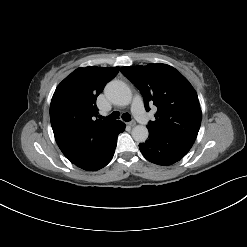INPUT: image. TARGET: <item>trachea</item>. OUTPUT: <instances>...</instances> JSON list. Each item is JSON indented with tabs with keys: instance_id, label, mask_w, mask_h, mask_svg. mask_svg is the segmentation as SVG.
I'll return each mask as SVG.
<instances>
[{
	"instance_id": "obj_1",
	"label": "trachea",
	"mask_w": 247,
	"mask_h": 247,
	"mask_svg": "<svg viewBox=\"0 0 247 247\" xmlns=\"http://www.w3.org/2000/svg\"><path fill=\"white\" fill-rule=\"evenodd\" d=\"M120 116L118 111H114L113 113H111L108 117H106V120H116L118 119ZM122 119L126 122H129L131 120V115L129 113H123L122 114ZM103 117H101L102 119Z\"/></svg>"
}]
</instances>
